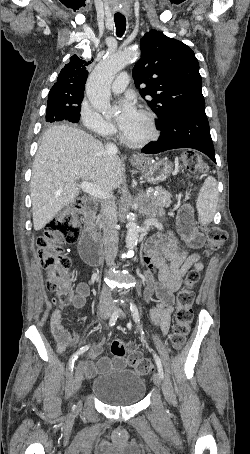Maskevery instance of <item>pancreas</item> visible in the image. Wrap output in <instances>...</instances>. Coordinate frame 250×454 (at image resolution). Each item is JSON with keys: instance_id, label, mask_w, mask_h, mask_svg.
<instances>
[{"instance_id": "1", "label": "pancreas", "mask_w": 250, "mask_h": 454, "mask_svg": "<svg viewBox=\"0 0 250 454\" xmlns=\"http://www.w3.org/2000/svg\"><path fill=\"white\" fill-rule=\"evenodd\" d=\"M152 195V202L156 206H169L171 200H170V195L163 191L161 188H157ZM100 217H96V223L99 224V227L101 228L100 224Z\"/></svg>"}]
</instances>
